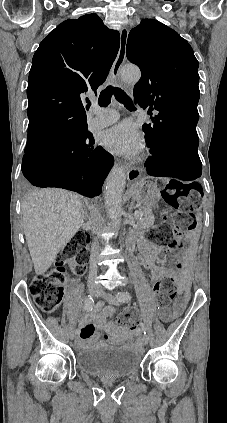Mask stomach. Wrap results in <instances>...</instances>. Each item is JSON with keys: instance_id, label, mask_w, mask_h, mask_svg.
Segmentation results:
<instances>
[{"instance_id": "1", "label": "stomach", "mask_w": 227, "mask_h": 423, "mask_svg": "<svg viewBox=\"0 0 227 423\" xmlns=\"http://www.w3.org/2000/svg\"><path fill=\"white\" fill-rule=\"evenodd\" d=\"M131 194L141 206H155L161 198L155 182H148L147 178L133 184Z\"/></svg>"}]
</instances>
